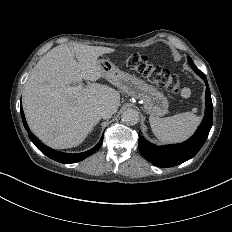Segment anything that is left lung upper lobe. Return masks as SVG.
<instances>
[{"label":"left lung upper lobe","mask_w":232,"mask_h":232,"mask_svg":"<svg viewBox=\"0 0 232 232\" xmlns=\"http://www.w3.org/2000/svg\"><path fill=\"white\" fill-rule=\"evenodd\" d=\"M188 62L191 66V68L199 75V74H203V72H201L193 63L192 59L190 57H188Z\"/></svg>","instance_id":"1"}]
</instances>
